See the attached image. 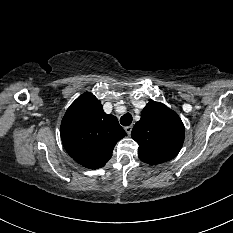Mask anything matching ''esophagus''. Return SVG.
<instances>
[{
    "mask_svg": "<svg viewBox=\"0 0 233 233\" xmlns=\"http://www.w3.org/2000/svg\"><path fill=\"white\" fill-rule=\"evenodd\" d=\"M125 131H126V133H127L128 135H130V134H131V131H132V126H127V127H125Z\"/></svg>",
    "mask_w": 233,
    "mask_h": 233,
    "instance_id": "esophagus-1",
    "label": "esophagus"
}]
</instances>
